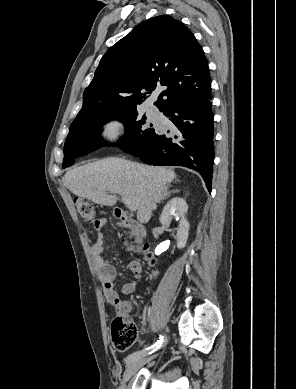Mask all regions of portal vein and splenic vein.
<instances>
[{
    "instance_id": "1",
    "label": "portal vein and splenic vein",
    "mask_w": 296,
    "mask_h": 389,
    "mask_svg": "<svg viewBox=\"0 0 296 389\" xmlns=\"http://www.w3.org/2000/svg\"><path fill=\"white\" fill-rule=\"evenodd\" d=\"M122 201L123 203L127 206V208L131 211V212H135L136 211V206L133 202H131L130 200L126 199V198H122Z\"/></svg>"
}]
</instances>
